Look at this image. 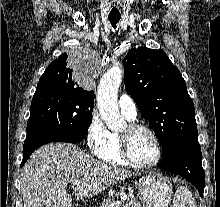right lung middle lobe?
Listing matches in <instances>:
<instances>
[{"mask_svg":"<svg viewBox=\"0 0 220 207\" xmlns=\"http://www.w3.org/2000/svg\"><path fill=\"white\" fill-rule=\"evenodd\" d=\"M94 96L57 89L36 90L27 123V136L62 132L87 134Z\"/></svg>","mask_w":220,"mask_h":207,"instance_id":"dd1d6c3e","label":"right lung middle lobe"}]
</instances>
